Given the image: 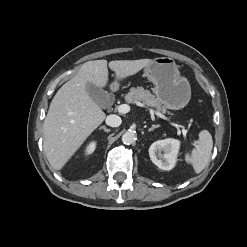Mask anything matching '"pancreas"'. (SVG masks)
<instances>
[{"mask_svg": "<svg viewBox=\"0 0 247 247\" xmlns=\"http://www.w3.org/2000/svg\"><path fill=\"white\" fill-rule=\"evenodd\" d=\"M125 100L128 103L142 102L147 106L155 108L160 113H166V107L150 91L145 90L143 87H132L125 96Z\"/></svg>", "mask_w": 247, "mask_h": 247, "instance_id": "cf45deb5", "label": "pancreas"}]
</instances>
